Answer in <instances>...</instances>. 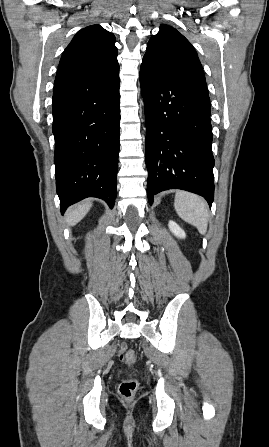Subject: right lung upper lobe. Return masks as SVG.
Here are the masks:
<instances>
[{
  "label": "right lung upper lobe",
  "mask_w": 269,
  "mask_h": 447,
  "mask_svg": "<svg viewBox=\"0 0 269 447\" xmlns=\"http://www.w3.org/2000/svg\"><path fill=\"white\" fill-rule=\"evenodd\" d=\"M119 69L115 36L100 25L80 30L65 49L55 84L104 77Z\"/></svg>",
  "instance_id": "obj_1"
}]
</instances>
